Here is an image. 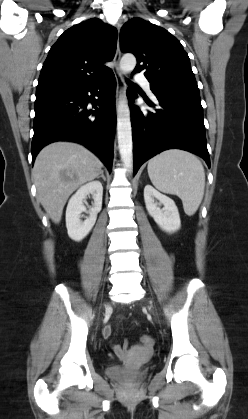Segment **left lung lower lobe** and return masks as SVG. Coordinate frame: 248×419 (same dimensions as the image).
<instances>
[{
    "mask_svg": "<svg viewBox=\"0 0 248 419\" xmlns=\"http://www.w3.org/2000/svg\"><path fill=\"white\" fill-rule=\"evenodd\" d=\"M159 101L142 111L133 104L137 94L127 90L131 110L134 174L140 166L167 149H182L202 157L210 167L200 95L154 94ZM157 107V108H156Z\"/></svg>",
    "mask_w": 248,
    "mask_h": 419,
    "instance_id": "0a47b994",
    "label": "left lung lower lobe"
}]
</instances>
